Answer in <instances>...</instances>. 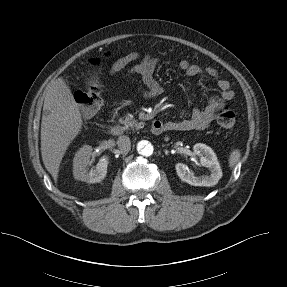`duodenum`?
<instances>
[{"label": "duodenum", "instance_id": "410a0bca", "mask_svg": "<svg viewBox=\"0 0 287 287\" xmlns=\"http://www.w3.org/2000/svg\"><path fill=\"white\" fill-rule=\"evenodd\" d=\"M165 130L164 124L159 120H154L151 125V132L155 135H160ZM111 134L115 136H120L124 133V128L119 124H112L109 127Z\"/></svg>", "mask_w": 287, "mask_h": 287}]
</instances>
